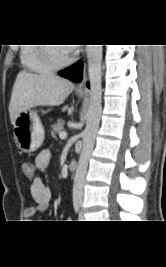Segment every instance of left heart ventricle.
<instances>
[{"label": "left heart ventricle", "mask_w": 166, "mask_h": 267, "mask_svg": "<svg viewBox=\"0 0 166 267\" xmlns=\"http://www.w3.org/2000/svg\"><path fill=\"white\" fill-rule=\"evenodd\" d=\"M52 49L59 60L66 59L70 54L69 50L64 46H53Z\"/></svg>", "instance_id": "left-heart-ventricle-1"}]
</instances>
